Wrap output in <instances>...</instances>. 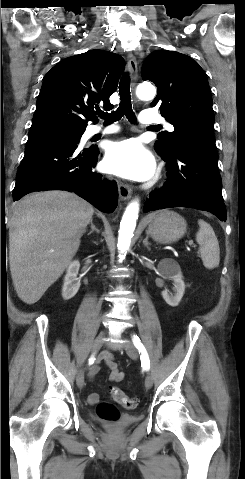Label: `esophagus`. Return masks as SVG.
I'll list each match as a JSON object with an SVG mask.
<instances>
[{"label":"esophagus","mask_w":245,"mask_h":479,"mask_svg":"<svg viewBox=\"0 0 245 479\" xmlns=\"http://www.w3.org/2000/svg\"><path fill=\"white\" fill-rule=\"evenodd\" d=\"M127 68L131 77L135 79L137 76L138 67H137V61L131 52L128 53ZM118 190H119V196L123 201L129 200L131 198L132 188L130 185L119 183Z\"/></svg>","instance_id":"esophagus-1"}]
</instances>
